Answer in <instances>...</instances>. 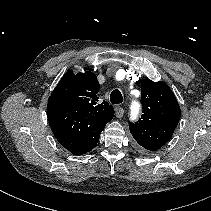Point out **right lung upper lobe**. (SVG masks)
I'll use <instances>...</instances> for the list:
<instances>
[{"instance_id": "obj_1", "label": "right lung upper lobe", "mask_w": 211, "mask_h": 211, "mask_svg": "<svg viewBox=\"0 0 211 211\" xmlns=\"http://www.w3.org/2000/svg\"><path fill=\"white\" fill-rule=\"evenodd\" d=\"M99 82L93 72L74 74L68 70L52 92L57 96L72 100L76 107L73 111L76 118L70 130L53 131L55 137L68 150L77 148L86 136L102 131L112 120L114 108L103 101L98 103Z\"/></svg>"}]
</instances>
